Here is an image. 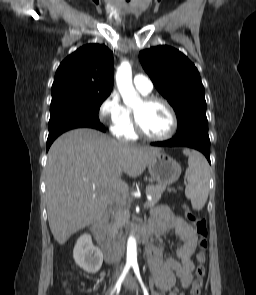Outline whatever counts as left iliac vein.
Wrapping results in <instances>:
<instances>
[{
  "instance_id": "obj_1",
  "label": "left iliac vein",
  "mask_w": 256,
  "mask_h": 295,
  "mask_svg": "<svg viewBox=\"0 0 256 295\" xmlns=\"http://www.w3.org/2000/svg\"><path fill=\"white\" fill-rule=\"evenodd\" d=\"M125 285L127 286V287H129V288H132V289H134L135 291H136V293H138V287H137V285H136V283H135V280H134V278L132 277V275H128L127 276V278H126V280H125Z\"/></svg>"
}]
</instances>
